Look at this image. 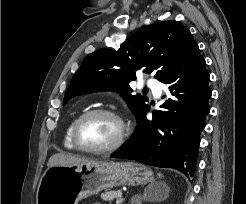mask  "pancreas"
Returning a JSON list of instances; mask_svg holds the SVG:
<instances>
[{
  "label": "pancreas",
  "mask_w": 246,
  "mask_h": 204,
  "mask_svg": "<svg viewBox=\"0 0 246 204\" xmlns=\"http://www.w3.org/2000/svg\"><path fill=\"white\" fill-rule=\"evenodd\" d=\"M121 195H122V191L121 190H116V191H109V192L102 193L100 195V197L104 201L111 202L114 199H117V198L121 197Z\"/></svg>",
  "instance_id": "obj_1"
}]
</instances>
